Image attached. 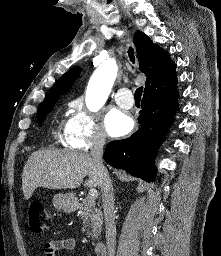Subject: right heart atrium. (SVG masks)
Returning a JSON list of instances; mask_svg holds the SVG:
<instances>
[{"label": "right heart atrium", "mask_w": 221, "mask_h": 256, "mask_svg": "<svg viewBox=\"0 0 221 256\" xmlns=\"http://www.w3.org/2000/svg\"><path fill=\"white\" fill-rule=\"evenodd\" d=\"M64 140L69 147L81 151L101 147L106 142L97 117L79 104L74 105L65 125Z\"/></svg>", "instance_id": "d8ad5b80"}]
</instances>
